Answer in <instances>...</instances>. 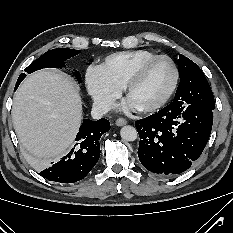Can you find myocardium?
<instances>
[{
    "instance_id": "myocardium-1",
    "label": "myocardium",
    "mask_w": 233,
    "mask_h": 233,
    "mask_svg": "<svg viewBox=\"0 0 233 233\" xmlns=\"http://www.w3.org/2000/svg\"><path fill=\"white\" fill-rule=\"evenodd\" d=\"M160 59H165L171 64L172 69H173V80L171 82L170 87L166 91V93L157 102H155L149 106L139 108L143 112H153V111L160 109L169 101V99L174 94V92L177 88L178 82H179V70H178V67H177L175 61L171 57H169L168 55H164V54L155 55L151 58H148V59L144 60L143 62H141L132 71V73L128 76V78L126 79V81L123 85L124 92H125L126 96H128L131 87L141 78V76L143 75V73L145 72L147 67L150 64H152L153 62L160 60Z\"/></svg>"
}]
</instances>
